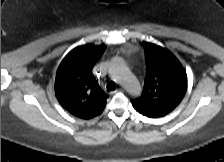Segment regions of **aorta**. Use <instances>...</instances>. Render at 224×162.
I'll use <instances>...</instances> for the list:
<instances>
[{
    "mask_svg": "<svg viewBox=\"0 0 224 162\" xmlns=\"http://www.w3.org/2000/svg\"><path fill=\"white\" fill-rule=\"evenodd\" d=\"M109 74L131 95L139 96L141 94L142 88L138 79L132 74L121 58L115 57L110 61Z\"/></svg>",
    "mask_w": 224,
    "mask_h": 162,
    "instance_id": "1",
    "label": "aorta"
}]
</instances>
